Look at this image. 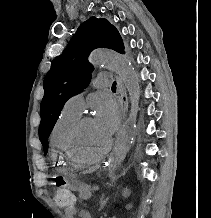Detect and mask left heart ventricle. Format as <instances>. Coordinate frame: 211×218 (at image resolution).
I'll return each instance as SVG.
<instances>
[{"label":"left heart ventricle","instance_id":"left-heart-ventricle-1","mask_svg":"<svg viewBox=\"0 0 211 218\" xmlns=\"http://www.w3.org/2000/svg\"><path fill=\"white\" fill-rule=\"evenodd\" d=\"M111 140V136L103 133L94 120L87 121L79 132L77 145L82 153H97L105 149Z\"/></svg>","mask_w":211,"mask_h":218}]
</instances>
